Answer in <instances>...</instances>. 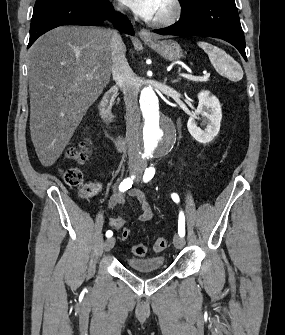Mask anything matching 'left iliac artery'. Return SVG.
Here are the masks:
<instances>
[{
    "instance_id": "1",
    "label": "left iliac artery",
    "mask_w": 285,
    "mask_h": 335,
    "mask_svg": "<svg viewBox=\"0 0 285 335\" xmlns=\"http://www.w3.org/2000/svg\"><path fill=\"white\" fill-rule=\"evenodd\" d=\"M155 174V168L154 167H149L145 170L143 180L144 182L150 181ZM171 197L174 202L178 203L179 202V196L176 193L171 194ZM178 234L181 237H184L185 235V217L184 213L181 211L179 214V219H178Z\"/></svg>"
}]
</instances>
